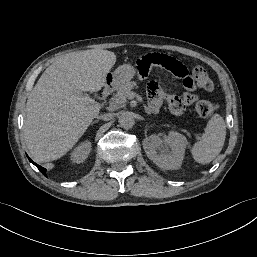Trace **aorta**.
Here are the masks:
<instances>
[{
    "label": "aorta",
    "instance_id": "762f6f07",
    "mask_svg": "<svg viewBox=\"0 0 257 257\" xmlns=\"http://www.w3.org/2000/svg\"><path fill=\"white\" fill-rule=\"evenodd\" d=\"M120 127L130 129L134 125V118L130 112H122L118 117Z\"/></svg>",
    "mask_w": 257,
    "mask_h": 257
}]
</instances>
